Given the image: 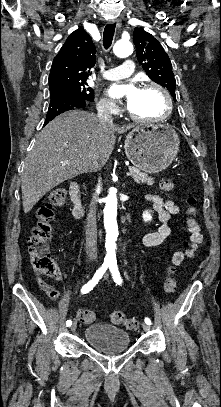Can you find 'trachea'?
<instances>
[{
	"label": "trachea",
	"mask_w": 221,
	"mask_h": 407,
	"mask_svg": "<svg viewBox=\"0 0 221 407\" xmlns=\"http://www.w3.org/2000/svg\"><path fill=\"white\" fill-rule=\"evenodd\" d=\"M115 27H116V23L107 24L105 26L104 33H103V46L105 49H108L112 44Z\"/></svg>",
	"instance_id": "3493384b"
}]
</instances>
